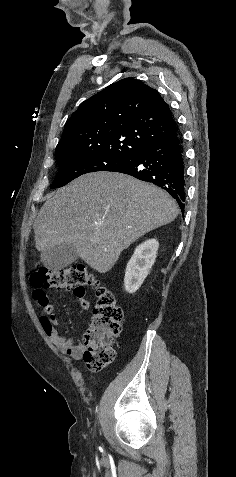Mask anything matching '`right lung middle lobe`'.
Masks as SVG:
<instances>
[{"label":"right lung middle lobe","instance_id":"right-lung-middle-lobe-1","mask_svg":"<svg viewBox=\"0 0 236 477\" xmlns=\"http://www.w3.org/2000/svg\"><path fill=\"white\" fill-rule=\"evenodd\" d=\"M127 157L110 155H84L57 160L59 171L51 184V188L66 185L75 178L96 171H113L129 161Z\"/></svg>","mask_w":236,"mask_h":477}]
</instances>
